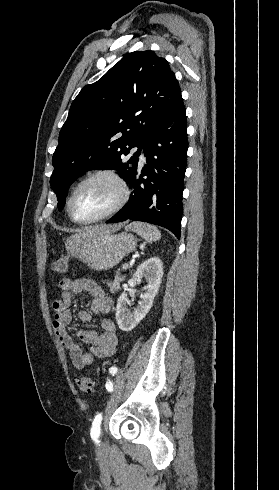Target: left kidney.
<instances>
[{
    "instance_id": "5707ae66",
    "label": "left kidney",
    "mask_w": 279,
    "mask_h": 490,
    "mask_svg": "<svg viewBox=\"0 0 279 490\" xmlns=\"http://www.w3.org/2000/svg\"><path fill=\"white\" fill-rule=\"evenodd\" d=\"M163 276V264L160 258H149L143 264L138 266L133 278L128 282V290L122 292L121 296L118 298L116 306V322L122 330V332H131L133 328L138 326L139 322L145 318L149 310H151L154 302L155 296L158 294L160 288L161 280ZM146 280L147 286H144L141 300L138 302V306L133 308V312H128L127 302L129 290L134 292L133 288L140 284L142 280Z\"/></svg>"
}]
</instances>
